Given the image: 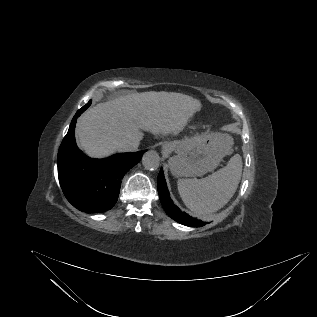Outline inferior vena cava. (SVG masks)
Returning <instances> with one entry per match:
<instances>
[{"instance_id":"obj_1","label":"inferior vena cava","mask_w":317,"mask_h":317,"mask_svg":"<svg viewBox=\"0 0 317 317\" xmlns=\"http://www.w3.org/2000/svg\"><path fill=\"white\" fill-rule=\"evenodd\" d=\"M139 143L136 141L123 142L118 145V149L123 152H133L138 149Z\"/></svg>"}]
</instances>
